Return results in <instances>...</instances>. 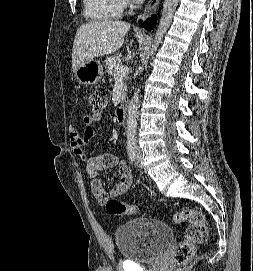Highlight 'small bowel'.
Segmentation results:
<instances>
[{
  "label": "small bowel",
  "instance_id": "c3829d8e",
  "mask_svg": "<svg viewBox=\"0 0 253 271\" xmlns=\"http://www.w3.org/2000/svg\"><path fill=\"white\" fill-rule=\"evenodd\" d=\"M100 119V114L92 113L87 115L83 118V127L81 131L74 126H70L68 132L72 152L85 163V171L90 179L93 195L98 203L105 204L107 200L121 196L128 191L132 183V175L129 167L124 161L112 153L106 152L95 156H89L85 153L83 147L95 136L96 131L94 125L100 121ZM112 168L118 170L119 183L115 189L106 192L103 189L102 180L97 174L101 170Z\"/></svg>",
  "mask_w": 253,
  "mask_h": 271
}]
</instances>
